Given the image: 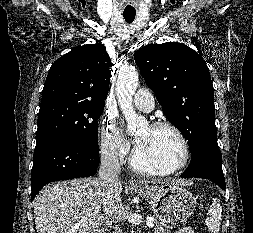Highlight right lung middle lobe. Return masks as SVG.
<instances>
[{
    "instance_id": "1",
    "label": "right lung middle lobe",
    "mask_w": 253,
    "mask_h": 233,
    "mask_svg": "<svg viewBox=\"0 0 253 233\" xmlns=\"http://www.w3.org/2000/svg\"><path fill=\"white\" fill-rule=\"evenodd\" d=\"M105 103L50 100L41 103L38 114L37 142L64 139L98 150V119Z\"/></svg>"
}]
</instances>
